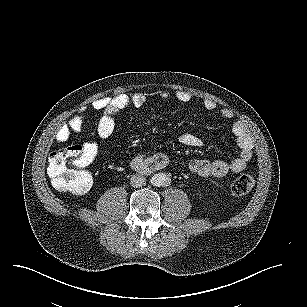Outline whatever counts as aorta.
Instances as JSON below:
<instances>
[{"instance_id":"aorta-1","label":"aorta","mask_w":307,"mask_h":307,"mask_svg":"<svg viewBox=\"0 0 307 307\" xmlns=\"http://www.w3.org/2000/svg\"><path fill=\"white\" fill-rule=\"evenodd\" d=\"M152 181V183L158 187L165 186L169 182L167 176L164 173L154 174V176L152 177Z\"/></svg>"}]
</instances>
